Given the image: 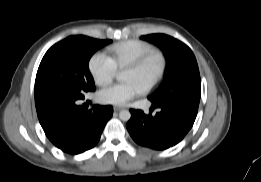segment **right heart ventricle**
<instances>
[{"mask_svg": "<svg viewBox=\"0 0 261 182\" xmlns=\"http://www.w3.org/2000/svg\"><path fill=\"white\" fill-rule=\"evenodd\" d=\"M153 46L141 40H126L109 48V58L117 70L124 69L128 64L153 50Z\"/></svg>", "mask_w": 261, "mask_h": 182, "instance_id": "obj_1", "label": "right heart ventricle"}]
</instances>
